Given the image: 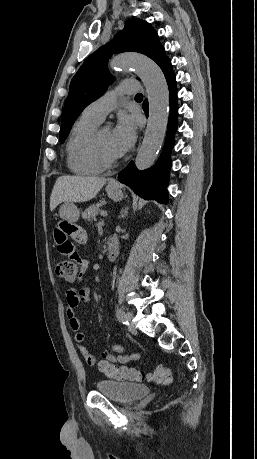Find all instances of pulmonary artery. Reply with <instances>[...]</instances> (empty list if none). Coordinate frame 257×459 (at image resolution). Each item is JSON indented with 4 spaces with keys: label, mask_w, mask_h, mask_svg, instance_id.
Returning a JSON list of instances; mask_svg holds the SVG:
<instances>
[{
    "label": "pulmonary artery",
    "mask_w": 257,
    "mask_h": 459,
    "mask_svg": "<svg viewBox=\"0 0 257 459\" xmlns=\"http://www.w3.org/2000/svg\"><path fill=\"white\" fill-rule=\"evenodd\" d=\"M134 80H124L113 90L108 91L103 96L89 104L84 114L102 122L106 115L114 109L117 103V97L122 95H131L136 93L137 89L133 86Z\"/></svg>",
    "instance_id": "1"
}]
</instances>
